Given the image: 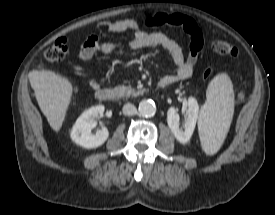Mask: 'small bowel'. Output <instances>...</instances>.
Here are the masks:
<instances>
[{"mask_svg":"<svg viewBox=\"0 0 275 215\" xmlns=\"http://www.w3.org/2000/svg\"><path fill=\"white\" fill-rule=\"evenodd\" d=\"M166 15L156 14L147 17L144 24L147 27H155L165 24ZM99 34L90 37L80 48L79 57L83 60H89L98 54H109L117 51L119 45L115 42H102L101 39L107 33H119L127 30L134 32L133 38L128 43V48L138 50L147 47H161L166 50L174 64L176 65L175 74H169L162 77L174 83L175 81L187 80L192 76L193 69L197 63L199 54L203 47V37L200 30L191 36L190 51L185 59L180 46L170 37L162 32H148L139 27L131 19H123L117 21H107L98 25ZM88 86L97 91L102 86L94 78H88Z\"/></svg>","mask_w":275,"mask_h":215,"instance_id":"1","label":"small bowel"}]
</instances>
